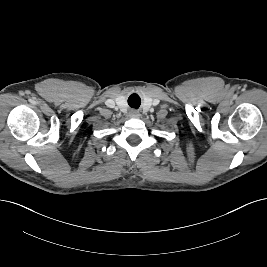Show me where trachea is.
<instances>
[{
  "label": "trachea",
  "mask_w": 267,
  "mask_h": 267,
  "mask_svg": "<svg viewBox=\"0 0 267 267\" xmlns=\"http://www.w3.org/2000/svg\"><path fill=\"white\" fill-rule=\"evenodd\" d=\"M128 104L132 108H136V109L139 108L141 104L140 97L136 94L131 95L128 99Z\"/></svg>",
  "instance_id": "obj_1"
}]
</instances>
